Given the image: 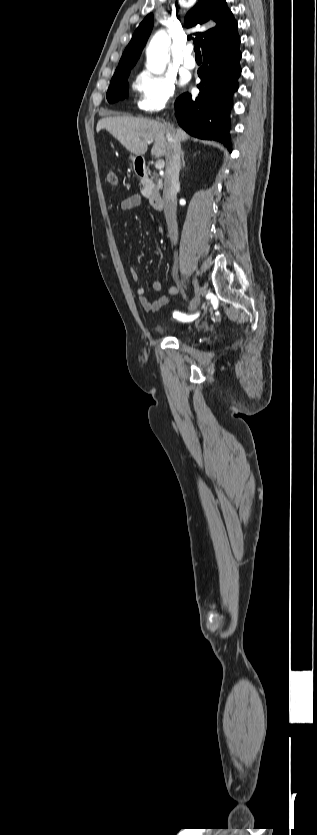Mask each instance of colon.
<instances>
[{
    "mask_svg": "<svg viewBox=\"0 0 317 835\" xmlns=\"http://www.w3.org/2000/svg\"><path fill=\"white\" fill-rule=\"evenodd\" d=\"M107 181L110 185L115 186L118 182L117 174L114 171H109L107 173Z\"/></svg>",
    "mask_w": 317,
    "mask_h": 835,
    "instance_id": "1",
    "label": "colon"
}]
</instances>
